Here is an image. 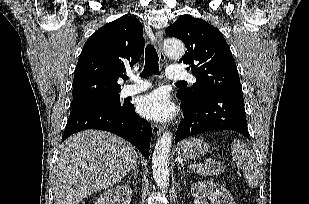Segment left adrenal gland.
Segmentation results:
<instances>
[{
	"mask_svg": "<svg viewBox=\"0 0 309 204\" xmlns=\"http://www.w3.org/2000/svg\"><path fill=\"white\" fill-rule=\"evenodd\" d=\"M182 167H183V173H182L181 179L185 177L186 173H190L188 170L184 168V165H182Z\"/></svg>",
	"mask_w": 309,
	"mask_h": 204,
	"instance_id": "1",
	"label": "left adrenal gland"
}]
</instances>
